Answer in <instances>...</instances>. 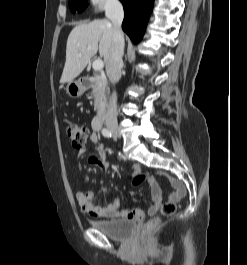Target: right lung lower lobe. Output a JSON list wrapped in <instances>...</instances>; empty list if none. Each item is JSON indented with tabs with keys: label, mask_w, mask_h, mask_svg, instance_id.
Returning <instances> with one entry per match:
<instances>
[{
	"label": "right lung lower lobe",
	"mask_w": 247,
	"mask_h": 265,
	"mask_svg": "<svg viewBox=\"0 0 247 265\" xmlns=\"http://www.w3.org/2000/svg\"><path fill=\"white\" fill-rule=\"evenodd\" d=\"M124 7L123 30L133 43L137 44L143 37L154 0H120Z\"/></svg>",
	"instance_id": "obj_1"
}]
</instances>
